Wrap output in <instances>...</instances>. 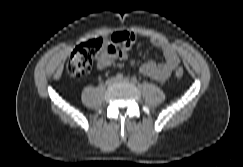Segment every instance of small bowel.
<instances>
[{"mask_svg": "<svg viewBox=\"0 0 243 167\" xmlns=\"http://www.w3.org/2000/svg\"><path fill=\"white\" fill-rule=\"evenodd\" d=\"M137 35L130 31H116L107 37L104 46L96 58L97 68L100 70L110 67L116 60H126ZM151 43L160 49L164 56L163 63L147 61L141 67V73L159 82L166 81L179 65L176 50L167 42L152 38Z\"/></svg>", "mask_w": 243, "mask_h": 167, "instance_id": "c3829d8e", "label": "small bowel"}]
</instances>
